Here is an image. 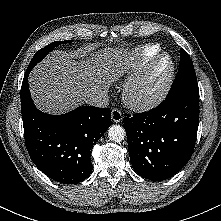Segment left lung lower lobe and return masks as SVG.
<instances>
[{
	"label": "left lung lower lobe",
	"instance_id": "0a47b994",
	"mask_svg": "<svg viewBox=\"0 0 221 221\" xmlns=\"http://www.w3.org/2000/svg\"><path fill=\"white\" fill-rule=\"evenodd\" d=\"M130 160L143 178L162 181L192 156L199 122V92L170 97L157 107L123 119Z\"/></svg>",
	"mask_w": 221,
	"mask_h": 221
}]
</instances>
